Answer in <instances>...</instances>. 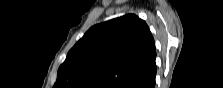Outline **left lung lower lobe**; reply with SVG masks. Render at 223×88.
Instances as JSON below:
<instances>
[{"mask_svg": "<svg viewBox=\"0 0 223 88\" xmlns=\"http://www.w3.org/2000/svg\"><path fill=\"white\" fill-rule=\"evenodd\" d=\"M156 66L150 70L143 78L138 80L131 88H155Z\"/></svg>", "mask_w": 223, "mask_h": 88, "instance_id": "0a47b994", "label": "left lung lower lobe"}]
</instances>
